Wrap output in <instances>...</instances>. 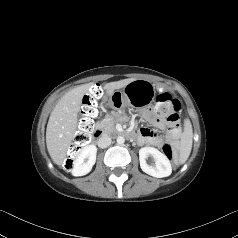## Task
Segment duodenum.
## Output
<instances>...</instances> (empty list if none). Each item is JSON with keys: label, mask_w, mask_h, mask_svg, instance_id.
<instances>
[{"label": "duodenum", "mask_w": 238, "mask_h": 238, "mask_svg": "<svg viewBox=\"0 0 238 238\" xmlns=\"http://www.w3.org/2000/svg\"><path fill=\"white\" fill-rule=\"evenodd\" d=\"M105 133H106L105 130H103V129H101V128H96V129L94 130V136H95V137H101V136H103ZM127 136L133 137L134 134H132V133H127Z\"/></svg>", "instance_id": "1"}]
</instances>
